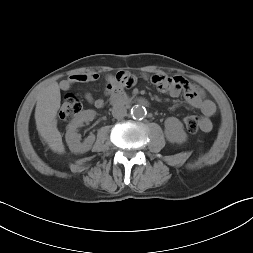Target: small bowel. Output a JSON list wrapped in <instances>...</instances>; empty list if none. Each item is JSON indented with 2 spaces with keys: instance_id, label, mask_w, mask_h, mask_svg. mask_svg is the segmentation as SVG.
Returning a JSON list of instances; mask_svg holds the SVG:
<instances>
[{
  "instance_id": "small-bowel-1",
  "label": "small bowel",
  "mask_w": 253,
  "mask_h": 253,
  "mask_svg": "<svg viewBox=\"0 0 253 253\" xmlns=\"http://www.w3.org/2000/svg\"><path fill=\"white\" fill-rule=\"evenodd\" d=\"M100 79V75L95 72L90 73H79L69 76L66 80L60 83V88L64 91L71 89L74 85L79 83H93ZM137 81V77L128 72H118L116 75H107L105 77L107 91L114 88H120L122 86L130 87L134 85ZM151 82L156 86V88L169 96L176 98L181 94L184 97L183 103H175L172 105L171 109L175 110L183 104L199 109L203 117L201 118V129L204 132H208L212 129V122L210 117H212L216 112L215 104L207 99L203 91L191 84L185 78L181 76H169L163 73L154 74L151 77ZM85 99L93 104L97 108L104 106V99L95 98L91 93L85 94Z\"/></svg>"
}]
</instances>
